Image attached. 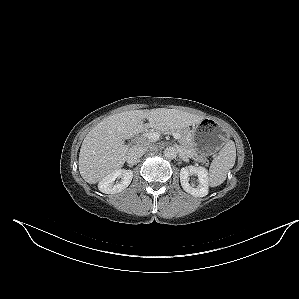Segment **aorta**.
<instances>
[{"label": "aorta", "instance_id": "1", "mask_svg": "<svg viewBox=\"0 0 299 299\" xmlns=\"http://www.w3.org/2000/svg\"><path fill=\"white\" fill-rule=\"evenodd\" d=\"M164 156L167 159H174V158H176V156H177V149L175 147H171V146L165 148V150H164Z\"/></svg>", "mask_w": 299, "mask_h": 299}]
</instances>
